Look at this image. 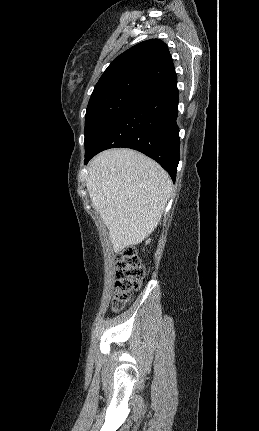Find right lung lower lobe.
I'll use <instances>...</instances> for the list:
<instances>
[{
    "label": "right lung lower lobe",
    "mask_w": 259,
    "mask_h": 431,
    "mask_svg": "<svg viewBox=\"0 0 259 431\" xmlns=\"http://www.w3.org/2000/svg\"><path fill=\"white\" fill-rule=\"evenodd\" d=\"M177 79L149 90L128 107L85 153V164L115 147L138 150L157 161L176 179L179 162Z\"/></svg>",
    "instance_id": "obj_1"
}]
</instances>
